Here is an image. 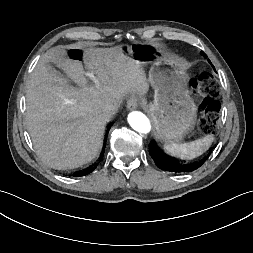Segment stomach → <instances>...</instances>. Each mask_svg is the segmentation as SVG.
Wrapping results in <instances>:
<instances>
[{
    "mask_svg": "<svg viewBox=\"0 0 253 253\" xmlns=\"http://www.w3.org/2000/svg\"><path fill=\"white\" fill-rule=\"evenodd\" d=\"M133 58L146 64L156 59L149 71V82L155 90L154 102L148 111L156 127L157 138L166 144H176L193 130L196 105L187 90L188 76L173 59L158 57L146 46L123 47Z\"/></svg>",
    "mask_w": 253,
    "mask_h": 253,
    "instance_id": "1",
    "label": "stomach"
}]
</instances>
